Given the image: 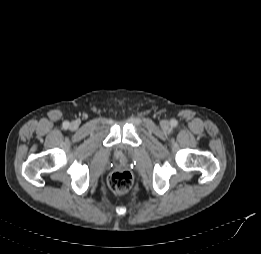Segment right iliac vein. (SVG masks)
Instances as JSON below:
<instances>
[{
    "label": "right iliac vein",
    "instance_id": "obj_1",
    "mask_svg": "<svg viewBox=\"0 0 261 254\" xmlns=\"http://www.w3.org/2000/svg\"><path fill=\"white\" fill-rule=\"evenodd\" d=\"M78 128V123L77 122H71V124H70V129H72V130H76Z\"/></svg>",
    "mask_w": 261,
    "mask_h": 254
}]
</instances>
